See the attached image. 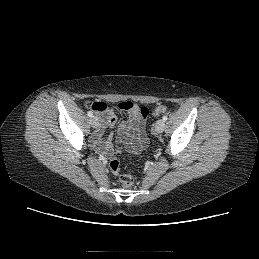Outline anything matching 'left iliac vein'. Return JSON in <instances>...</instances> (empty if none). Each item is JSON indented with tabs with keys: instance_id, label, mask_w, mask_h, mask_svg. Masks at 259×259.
Masks as SVG:
<instances>
[{
	"instance_id": "obj_1",
	"label": "left iliac vein",
	"mask_w": 259,
	"mask_h": 259,
	"mask_svg": "<svg viewBox=\"0 0 259 259\" xmlns=\"http://www.w3.org/2000/svg\"><path fill=\"white\" fill-rule=\"evenodd\" d=\"M155 131L157 133H162L165 128V121L163 119H159L155 124Z\"/></svg>"
}]
</instances>
